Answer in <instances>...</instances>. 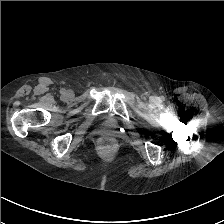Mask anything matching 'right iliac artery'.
Wrapping results in <instances>:
<instances>
[{
	"label": "right iliac artery",
	"mask_w": 224,
	"mask_h": 224,
	"mask_svg": "<svg viewBox=\"0 0 224 224\" xmlns=\"http://www.w3.org/2000/svg\"><path fill=\"white\" fill-rule=\"evenodd\" d=\"M60 93H61L62 95H64V94L66 93V90H65V89H61V90H60Z\"/></svg>",
	"instance_id": "obj_1"
}]
</instances>
